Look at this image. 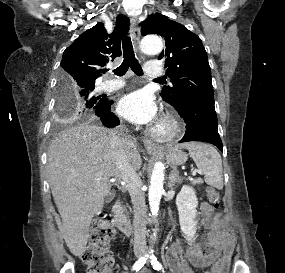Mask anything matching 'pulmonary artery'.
I'll list each match as a JSON object with an SVG mask.
<instances>
[{
  "label": "pulmonary artery",
  "mask_w": 285,
  "mask_h": 273,
  "mask_svg": "<svg viewBox=\"0 0 285 273\" xmlns=\"http://www.w3.org/2000/svg\"><path fill=\"white\" fill-rule=\"evenodd\" d=\"M145 72L148 76L154 77V78H159L164 74L163 68L160 66L159 62L157 61L147 62L145 65ZM124 85H125V82L123 80L109 78V79L104 80L98 86V90L105 91V92H111V91H116L122 88Z\"/></svg>",
  "instance_id": "1"
}]
</instances>
